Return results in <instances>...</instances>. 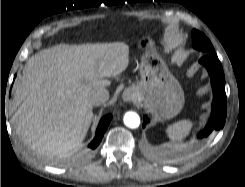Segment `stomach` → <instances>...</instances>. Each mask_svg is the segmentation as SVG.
I'll list each match as a JSON object with an SVG mask.
<instances>
[{"mask_svg":"<svg viewBox=\"0 0 245 187\" xmlns=\"http://www.w3.org/2000/svg\"><path fill=\"white\" fill-rule=\"evenodd\" d=\"M137 46L144 55L139 64L140 79L131 87L134 97L165 119L176 116L183 108L184 93L157 53L154 36L142 37Z\"/></svg>","mask_w":245,"mask_h":187,"instance_id":"obj_1","label":"stomach"}]
</instances>
